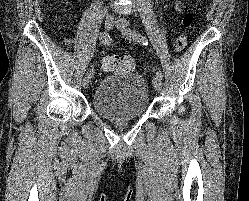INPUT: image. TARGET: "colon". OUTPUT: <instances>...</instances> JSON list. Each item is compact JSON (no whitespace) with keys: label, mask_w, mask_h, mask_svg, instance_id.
<instances>
[{"label":"colon","mask_w":249,"mask_h":201,"mask_svg":"<svg viewBox=\"0 0 249 201\" xmlns=\"http://www.w3.org/2000/svg\"><path fill=\"white\" fill-rule=\"evenodd\" d=\"M194 16L192 13L187 12L183 16V25L185 28H190L193 24ZM188 43V33L184 31L181 33L174 41V50L176 52L183 51ZM103 66L112 72L118 74H126L129 73L134 68V61L130 56L126 55H111L107 57Z\"/></svg>","instance_id":"1"}]
</instances>
